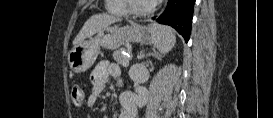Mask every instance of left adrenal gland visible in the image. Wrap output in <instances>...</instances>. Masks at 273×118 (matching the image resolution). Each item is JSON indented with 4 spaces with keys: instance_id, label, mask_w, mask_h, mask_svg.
Returning a JSON list of instances; mask_svg holds the SVG:
<instances>
[{
    "instance_id": "obj_1",
    "label": "left adrenal gland",
    "mask_w": 273,
    "mask_h": 118,
    "mask_svg": "<svg viewBox=\"0 0 273 118\" xmlns=\"http://www.w3.org/2000/svg\"><path fill=\"white\" fill-rule=\"evenodd\" d=\"M148 55H153V56H155L156 58H159V57L161 56V55H160L159 53H157L156 51H154V53L148 54ZM148 55H147V56H148ZM139 58H140V59H144V58H145V54H144L143 51L140 52Z\"/></svg>"
}]
</instances>
